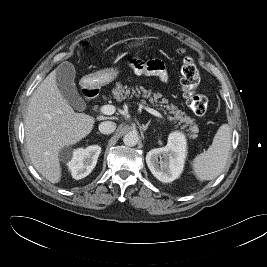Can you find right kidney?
I'll list each match as a JSON object with an SVG mask.
<instances>
[{"mask_svg": "<svg viewBox=\"0 0 267 267\" xmlns=\"http://www.w3.org/2000/svg\"><path fill=\"white\" fill-rule=\"evenodd\" d=\"M100 153L101 147L98 145L74 150L67 163L72 177L79 180L88 176L95 168Z\"/></svg>", "mask_w": 267, "mask_h": 267, "instance_id": "right-kidney-1", "label": "right kidney"}]
</instances>
